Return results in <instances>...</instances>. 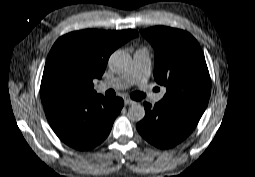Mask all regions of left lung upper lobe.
Segmentation results:
<instances>
[{
	"mask_svg": "<svg viewBox=\"0 0 255 177\" xmlns=\"http://www.w3.org/2000/svg\"><path fill=\"white\" fill-rule=\"evenodd\" d=\"M155 50L154 78L167 86L163 99L207 106L211 82L203 52L189 33L164 26L141 30Z\"/></svg>",
	"mask_w": 255,
	"mask_h": 177,
	"instance_id": "left-lung-upper-lobe-1",
	"label": "left lung upper lobe"
}]
</instances>
